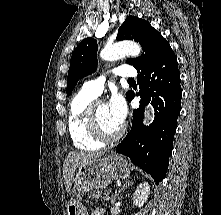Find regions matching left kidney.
<instances>
[{
  "mask_svg": "<svg viewBox=\"0 0 221 215\" xmlns=\"http://www.w3.org/2000/svg\"><path fill=\"white\" fill-rule=\"evenodd\" d=\"M150 194V186L148 182L141 183L134 192L133 204L137 207H142Z\"/></svg>",
  "mask_w": 221,
  "mask_h": 215,
  "instance_id": "1",
  "label": "left kidney"
}]
</instances>
